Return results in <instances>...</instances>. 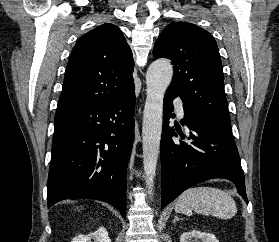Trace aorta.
Here are the masks:
<instances>
[{
  "label": "aorta",
  "instance_id": "aorta-1",
  "mask_svg": "<svg viewBox=\"0 0 279 242\" xmlns=\"http://www.w3.org/2000/svg\"><path fill=\"white\" fill-rule=\"evenodd\" d=\"M173 77L170 61L158 59L151 63L146 73L147 97L142 126V148L145 183L150 197L154 187L157 160L162 133L163 98Z\"/></svg>",
  "mask_w": 279,
  "mask_h": 242
}]
</instances>
